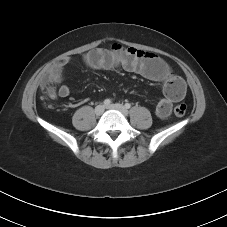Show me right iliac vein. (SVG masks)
<instances>
[{"label": "right iliac vein", "instance_id": "obj_1", "mask_svg": "<svg viewBox=\"0 0 227 227\" xmlns=\"http://www.w3.org/2000/svg\"><path fill=\"white\" fill-rule=\"evenodd\" d=\"M104 110H105L104 105L100 104V105L95 107V114L97 116H100L104 112Z\"/></svg>", "mask_w": 227, "mask_h": 227}]
</instances>
